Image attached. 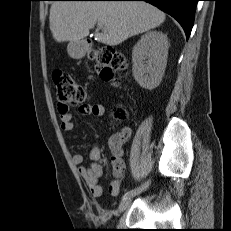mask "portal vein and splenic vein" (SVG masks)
Returning a JSON list of instances; mask_svg holds the SVG:
<instances>
[{
    "label": "portal vein and splenic vein",
    "instance_id": "1",
    "mask_svg": "<svg viewBox=\"0 0 231 231\" xmlns=\"http://www.w3.org/2000/svg\"><path fill=\"white\" fill-rule=\"evenodd\" d=\"M98 28H103V25L101 23H98Z\"/></svg>",
    "mask_w": 231,
    "mask_h": 231
}]
</instances>
